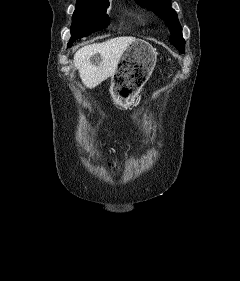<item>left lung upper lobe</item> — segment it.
<instances>
[{
    "label": "left lung upper lobe",
    "instance_id": "1",
    "mask_svg": "<svg viewBox=\"0 0 240 281\" xmlns=\"http://www.w3.org/2000/svg\"><path fill=\"white\" fill-rule=\"evenodd\" d=\"M136 3L143 7L148 8L158 15L161 19L165 20V24L170 29L172 35L170 42L181 53H185V41L182 36V28L178 21L175 10L171 8V0H135Z\"/></svg>",
    "mask_w": 240,
    "mask_h": 281
}]
</instances>
